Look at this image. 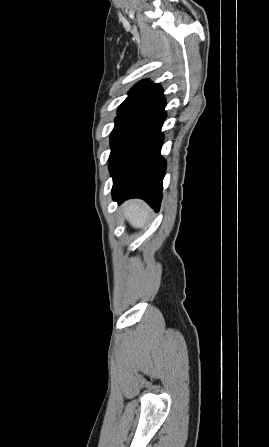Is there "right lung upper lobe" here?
I'll return each instance as SVG.
<instances>
[{"label": "right lung upper lobe", "instance_id": "right-lung-upper-lobe-1", "mask_svg": "<svg viewBox=\"0 0 269 447\" xmlns=\"http://www.w3.org/2000/svg\"><path fill=\"white\" fill-rule=\"evenodd\" d=\"M163 90L161 86L143 80L136 84L129 92V96L119 106L118 113L132 114L161 97Z\"/></svg>", "mask_w": 269, "mask_h": 447}]
</instances>
